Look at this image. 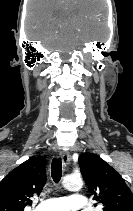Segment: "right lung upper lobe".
I'll list each match as a JSON object with an SVG mask.
<instances>
[{"instance_id":"obj_1","label":"right lung upper lobe","mask_w":133,"mask_h":211,"mask_svg":"<svg viewBox=\"0 0 133 211\" xmlns=\"http://www.w3.org/2000/svg\"><path fill=\"white\" fill-rule=\"evenodd\" d=\"M46 182L44 160L31 157L13 169L0 183V211H23Z\"/></svg>"}]
</instances>
